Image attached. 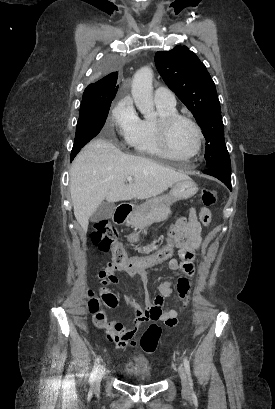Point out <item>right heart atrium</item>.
<instances>
[{"label": "right heart atrium", "instance_id": "1", "mask_svg": "<svg viewBox=\"0 0 275 409\" xmlns=\"http://www.w3.org/2000/svg\"><path fill=\"white\" fill-rule=\"evenodd\" d=\"M110 119L117 136L113 143L131 144L139 123V118L131 101L123 100L119 102L112 110Z\"/></svg>", "mask_w": 275, "mask_h": 409}]
</instances>
